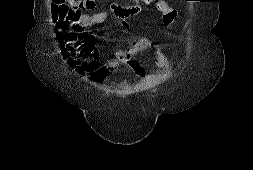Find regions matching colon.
<instances>
[{
  "mask_svg": "<svg viewBox=\"0 0 253 170\" xmlns=\"http://www.w3.org/2000/svg\"><path fill=\"white\" fill-rule=\"evenodd\" d=\"M147 4L159 0H141ZM90 0H51V10L56 21H65L78 17L83 10L90 9Z\"/></svg>",
  "mask_w": 253,
  "mask_h": 170,
  "instance_id": "obj_1",
  "label": "colon"
}]
</instances>
